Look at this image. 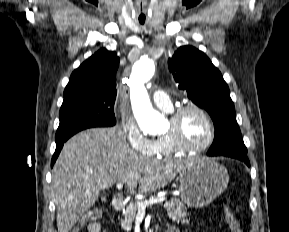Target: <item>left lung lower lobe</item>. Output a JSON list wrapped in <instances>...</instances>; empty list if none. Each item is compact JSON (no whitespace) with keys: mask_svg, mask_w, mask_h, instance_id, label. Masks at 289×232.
<instances>
[{"mask_svg":"<svg viewBox=\"0 0 289 232\" xmlns=\"http://www.w3.org/2000/svg\"><path fill=\"white\" fill-rule=\"evenodd\" d=\"M221 155L239 159V160L245 162L250 167V163H249V160L247 158L246 153H225V154H221Z\"/></svg>","mask_w":289,"mask_h":232,"instance_id":"left-lung-lower-lobe-1","label":"left lung lower lobe"}]
</instances>
